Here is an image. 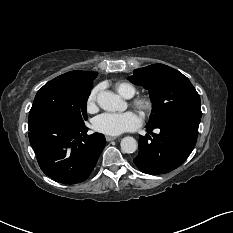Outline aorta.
I'll return each instance as SVG.
<instances>
[{
	"mask_svg": "<svg viewBox=\"0 0 233 233\" xmlns=\"http://www.w3.org/2000/svg\"><path fill=\"white\" fill-rule=\"evenodd\" d=\"M97 103L103 110L110 112L125 108V102L118 95L110 91H101L97 96ZM120 145L124 153H134L137 150V142L131 136L124 137Z\"/></svg>",
	"mask_w": 233,
	"mask_h": 233,
	"instance_id": "obj_1",
	"label": "aorta"
}]
</instances>
